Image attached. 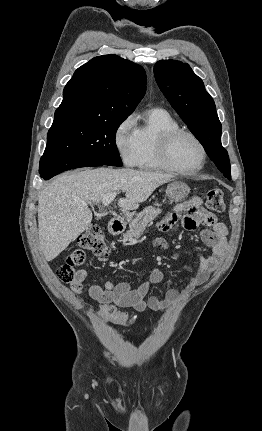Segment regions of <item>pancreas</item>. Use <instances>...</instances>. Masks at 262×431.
Returning a JSON list of instances; mask_svg holds the SVG:
<instances>
[{
  "instance_id": "pancreas-1",
  "label": "pancreas",
  "mask_w": 262,
  "mask_h": 431,
  "mask_svg": "<svg viewBox=\"0 0 262 431\" xmlns=\"http://www.w3.org/2000/svg\"><path fill=\"white\" fill-rule=\"evenodd\" d=\"M160 213L161 209L148 206L135 218L129 219L128 222L130 229L123 235L124 239L128 240L131 238H138L147 224L153 221Z\"/></svg>"
}]
</instances>
